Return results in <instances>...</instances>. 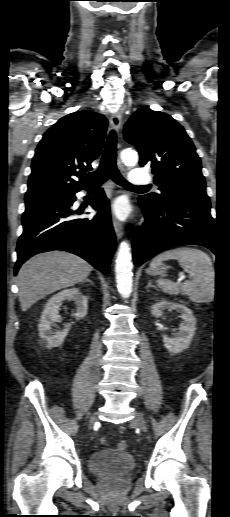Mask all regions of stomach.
<instances>
[{"label": "stomach", "instance_id": "0dacf381", "mask_svg": "<svg viewBox=\"0 0 230 517\" xmlns=\"http://www.w3.org/2000/svg\"><path fill=\"white\" fill-rule=\"evenodd\" d=\"M167 267L165 265L159 266L156 269H148L147 273L153 275H163Z\"/></svg>", "mask_w": 230, "mask_h": 517}]
</instances>
